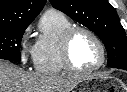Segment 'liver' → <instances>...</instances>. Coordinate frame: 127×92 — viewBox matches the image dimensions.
<instances>
[{
	"label": "liver",
	"mask_w": 127,
	"mask_h": 92,
	"mask_svg": "<svg viewBox=\"0 0 127 92\" xmlns=\"http://www.w3.org/2000/svg\"><path fill=\"white\" fill-rule=\"evenodd\" d=\"M83 78L31 74L0 60V92H70Z\"/></svg>",
	"instance_id": "obj_1"
}]
</instances>
